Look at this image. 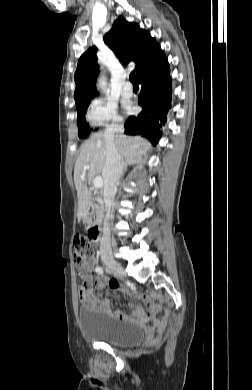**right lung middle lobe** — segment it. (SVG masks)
<instances>
[{"label":"right lung middle lobe","mask_w":252,"mask_h":390,"mask_svg":"<svg viewBox=\"0 0 252 390\" xmlns=\"http://www.w3.org/2000/svg\"><path fill=\"white\" fill-rule=\"evenodd\" d=\"M88 105L89 103L80 108H77L78 135L80 138H85L90 134V128L88 127V124L85 120V112L88 108Z\"/></svg>","instance_id":"dd1d6c3e"}]
</instances>
